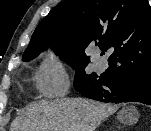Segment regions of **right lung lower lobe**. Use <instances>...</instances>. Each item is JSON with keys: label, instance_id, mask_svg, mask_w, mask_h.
<instances>
[{"label": "right lung lower lobe", "instance_id": "1", "mask_svg": "<svg viewBox=\"0 0 151 131\" xmlns=\"http://www.w3.org/2000/svg\"><path fill=\"white\" fill-rule=\"evenodd\" d=\"M75 89L106 103L141 102L151 105V72L132 75L75 77Z\"/></svg>", "mask_w": 151, "mask_h": 131}]
</instances>
